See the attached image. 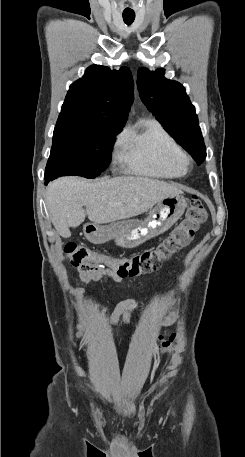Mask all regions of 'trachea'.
Masks as SVG:
<instances>
[{"label":"trachea","instance_id":"1","mask_svg":"<svg viewBox=\"0 0 245 457\" xmlns=\"http://www.w3.org/2000/svg\"><path fill=\"white\" fill-rule=\"evenodd\" d=\"M135 13H123V20L127 25H131L134 22Z\"/></svg>","mask_w":245,"mask_h":457}]
</instances>
